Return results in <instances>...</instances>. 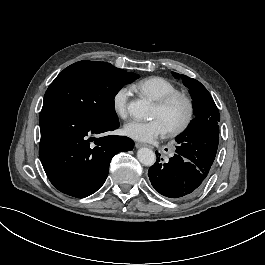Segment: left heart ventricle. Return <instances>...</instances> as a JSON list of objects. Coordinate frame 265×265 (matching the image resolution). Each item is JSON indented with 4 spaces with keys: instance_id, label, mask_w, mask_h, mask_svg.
Returning a JSON list of instances; mask_svg holds the SVG:
<instances>
[{
    "instance_id": "left-heart-ventricle-1",
    "label": "left heart ventricle",
    "mask_w": 265,
    "mask_h": 265,
    "mask_svg": "<svg viewBox=\"0 0 265 265\" xmlns=\"http://www.w3.org/2000/svg\"><path fill=\"white\" fill-rule=\"evenodd\" d=\"M185 116L186 107L181 101H175L164 112H159L155 106L152 113V118L160 119L166 129L180 125Z\"/></svg>"
}]
</instances>
